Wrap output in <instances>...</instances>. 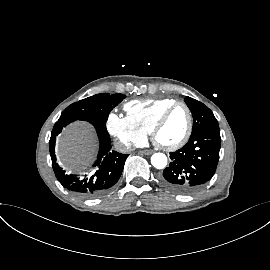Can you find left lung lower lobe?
<instances>
[{"instance_id":"obj_1","label":"left lung lower lobe","mask_w":270,"mask_h":270,"mask_svg":"<svg viewBox=\"0 0 270 270\" xmlns=\"http://www.w3.org/2000/svg\"><path fill=\"white\" fill-rule=\"evenodd\" d=\"M220 144L219 129H206L191 136L186 145L170 153L171 162L163 171L162 184L179 194L201 189L215 174Z\"/></svg>"}]
</instances>
